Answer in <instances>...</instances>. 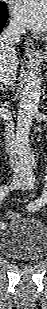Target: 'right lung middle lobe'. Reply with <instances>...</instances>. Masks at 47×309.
<instances>
[{
    "mask_svg": "<svg viewBox=\"0 0 47 309\" xmlns=\"http://www.w3.org/2000/svg\"><path fill=\"white\" fill-rule=\"evenodd\" d=\"M5 6H6V5H5L4 2H0V9L3 8V7H5Z\"/></svg>",
    "mask_w": 47,
    "mask_h": 309,
    "instance_id": "right-lung-middle-lobe-1",
    "label": "right lung middle lobe"
}]
</instances>
